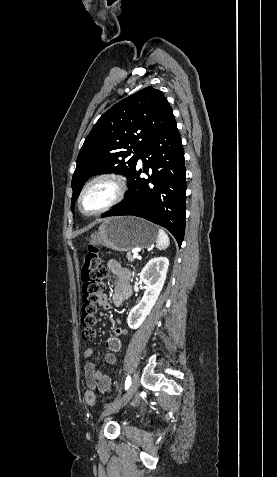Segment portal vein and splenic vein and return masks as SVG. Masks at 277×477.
<instances>
[{
	"label": "portal vein and splenic vein",
	"mask_w": 277,
	"mask_h": 477,
	"mask_svg": "<svg viewBox=\"0 0 277 477\" xmlns=\"http://www.w3.org/2000/svg\"><path fill=\"white\" fill-rule=\"evenodd\" d=\"M133 257H134V258H141L137 253H134V254H133Z\"/></svg>",
	"instance_id": "18ae733b"
}]
</instances>
